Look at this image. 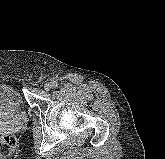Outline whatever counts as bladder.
<instances>
[{
	"instance_id": "31cf9c89",
	"label": "bladder",
	"mask_w": 165,
	"mask_h": 159,
	"mask_svg": "<svg viewBox=\"0 0 165 159\" xmlns=\"http://www.w3.org/2000/svg\"><path fill=\"white\" fill-rule=\"evenodd\" d=\"M25 105L21 91L10 84H0V109L10 114H19Z\"/></svg>"
}]
</instances>
